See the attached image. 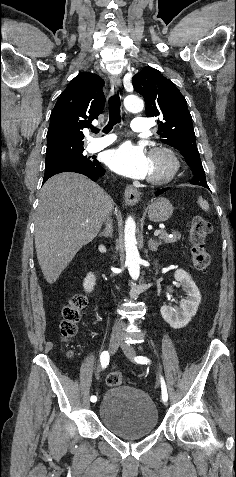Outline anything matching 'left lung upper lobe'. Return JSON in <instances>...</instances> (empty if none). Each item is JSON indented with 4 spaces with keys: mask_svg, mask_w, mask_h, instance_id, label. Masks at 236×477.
Wrapping results in <instances>:
<instances>
[{
    "mask_svg": "<svg viewBox=\"0 0 236 477\" xmlns=\"http://www.w3.org/2000/svg\"><path fill=\"white\" fill-rule=\"evenodd\" d=\"M132 81L134 90L145 99L146 116L160 118L157 134L161 142L180 151L191 168L194 174L191 184L207 185L196 147L192 117L184 96L169 79L152 67H145Z\"/></svg>",
    "mask_w": 236,
    "mask_h": 477,
    "instance_id": "obj_1",
    "label": "left lung upper lobe"
}]
</instances>
